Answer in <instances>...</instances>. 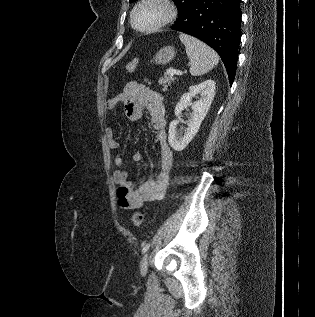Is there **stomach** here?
Masks as SVG:
<instances>
[{
  "label": "stomach",
  "instance_id": "stomach-1",
  "mask_svg": "<svg viewBox=\"0 0 315 317\" xmlns=\"http://www.w3.org/2000/svg\"><path fill=\"white\" fill-rule=\"evenodd\" d=\"M175 56V49L171 46L163 47L160 49L155 57L154 61L156 64H166L170 62Z\"/></svg>",
  "mask_w": 315,
  "mask_h": 317
}]
</instances>
